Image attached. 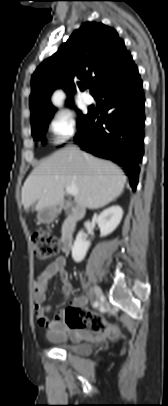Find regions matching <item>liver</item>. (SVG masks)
<instances>
[{"instance_id": "obj_1", "label": "liver", "mask_w": 168, "mask_h": 406, "mask_svg": "<svg viewBox=\"0 0 168 406\" xmlns=\"http://www.w3.org/2000/svg\"><path fill=\"white\" fill-rule=\"evenodd\" d=\"M126 176L111 161L67 147L61 149L34 168L21 193L25 211L33 204L35 210L63 202L65 188L75 185V202L82 208H102L118 198L125 186Z\"/></svg>"}]
</instances>
